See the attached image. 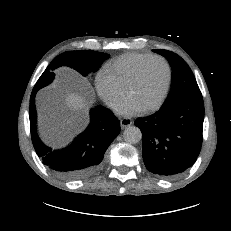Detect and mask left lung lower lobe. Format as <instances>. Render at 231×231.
Wrapping results in <instances>:
<instances>
[{
	"mask_svg": "<svg viewBox=\"0 0 231 231\" xmlns=\"http://www.w3.org/2000/svg\"><path fill=\"white\" fill-rule=\"evenodd\" d=\"M204 102L188 95L134 123L142 132L146 168L163 178H173L191 167L202 146Z\"/></svg>",
	"mask_w": 231,
	"mask_h": 231,
	"instance_id": "1",
	"label": "left lung lower lobe"
}]
</instances>
